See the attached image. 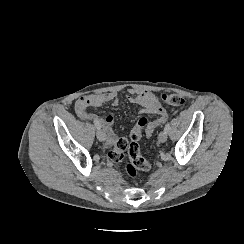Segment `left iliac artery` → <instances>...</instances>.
<instances>
[{
    "mask_svg": "<svg viewBox=\"0 0 244 244\" xmlns=\"http://www.w3.org/2000/svg\"><path fill=\"white\" fill-rule=\"evenodd\" d=\"M169 129H170V123L168 122V123H166V125H165V127H164V131H165L166 133H168Z\"/></svg>",
    "mask_w": 244,
    "mask_h": 244,
    "instance_id": "obj_1",
    "label": "left iliac artery"
}]
</instances>
